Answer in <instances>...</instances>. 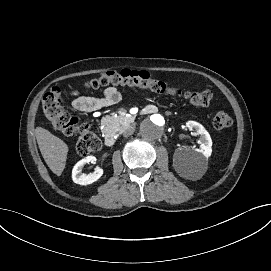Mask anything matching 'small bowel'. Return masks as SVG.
<instances>
[{"mask_svg":"<svg viewBox=\"0 0 271 271\" xmlns=\"http://www.w3.org/2000/svg\"><path fill=\"white\" fill-rule=\"evenodd\" d=\"M72 96V107L77 111L87 113L116 105L121 99L120 92L112 86L105 88L102 97L84 96L78 91H73Z\"/></svg>","mask_w":271,"mask_h":271,"instance_id":"1","label":"small bowel"}]
</instances>
